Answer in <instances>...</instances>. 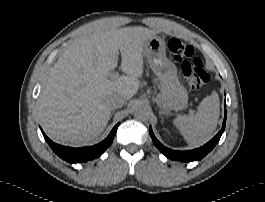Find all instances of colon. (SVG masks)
<instances>
[{
	"instance_id": "1",
	"label": "colon",
	"mask_w": 265,
	"mask_h": 202,
	"mask_svg": "<svg viewBox=\"0 0 265 202\" xmlns=\"http://www.w3.org/2000/svg\"><path fill=\"white\" fill-rule=\"evenodd\" d=\"M168 49L172 58L179 64L181 74L188 86L193 89L201 88L209 79L202 61L194 56V48L178 38L168 41Z\"/></svg>"
}]
</instances>
